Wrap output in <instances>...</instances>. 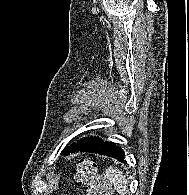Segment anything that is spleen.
Instances as JSON below:
<instances>
[{
  "mask_svg": "<svg viewBox=\"0 0 189 195\" xmlns=\"http://www.w3.org/2000/svg\"><path fill=\"white\" fill-rule=\"evenodd\" d=\"M105 177L120 195H124L126 193L127 180L119 169L112 166L108 167L105 170Z\"/></svg>",
  "mask_w": 189,
  "mask_h": 195,
  "instance_id": "spleen-1",
  "label": "spleen"
}]
</instances>
